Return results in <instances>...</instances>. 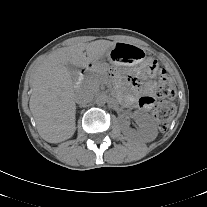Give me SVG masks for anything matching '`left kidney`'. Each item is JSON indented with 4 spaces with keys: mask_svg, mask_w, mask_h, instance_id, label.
<instances>
[{
    "mask_svg": "<svg viewBox=\"0 0 207 207\" xmlns=\"http://www.w3.org/2000/svg\"><path fill=\"white\" fill-rule=\"evenodd\" d=\"M132 115L139 125V134L141 138L146 142L153 141L157 137V128L151 116L140 111H136ZM125 117H127V115H123L121 118L122 132L125 135H133L134 132L129 128L125 121Z\"/></svg>",
    "mask_w": 207,
    "mask_h": 207,
    "instance_id": "5707ae66",
    "label": "left kidney"
}]
</instances>
